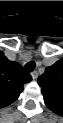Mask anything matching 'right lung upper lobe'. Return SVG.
Instances as JSON below:
<instances>
[{
  "label": "right lung upper lobe",
  "instance_id": "obj_1",
  "mask_svg": "<svg viewBox=\"0 0 63 123\" xmlns=\"http://www.w3.org/2000/svg\"><path fill=\"white\" fill-rule=\"evenodd\" d=\"M5 74L1 75L0 94L6 103L15 101L23 90V85L31 81V76L26 74L17 62L6 60Z\"/></svg>",
  "mask_w": 63,
  "mask_h": 123
}]
</instances>
